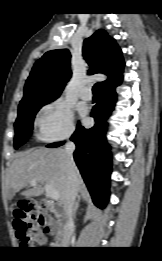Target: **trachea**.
Listing matches in <instances>:
<instances>
[{"label":"trachea","mask_w":162,"mask_h":261,"mask_svg":"<svg viewBox=\"0 0 162 261\" xmlns=\"http://www.w3.org/2000/svg\"><path fill=\"white\" fill-rule=\"evenodd\" d=\"M100 88H101V86H100L99 83H96V84L93 86L92 91H93L94 95H100Z\"/></svg>","instance_id":"3493384b"}]
</instances>
